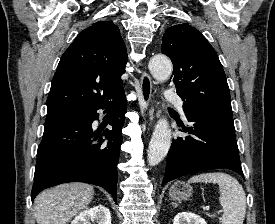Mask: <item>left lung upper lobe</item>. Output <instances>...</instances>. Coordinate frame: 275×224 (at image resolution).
<instances>
[{
    "label": "left lung upper lobe",
    "instance_id": "left-lung-upper-lobe-1",
    "mask_svg": "<svg viewBox=\"0 0 275 224\" xmlns=\"http://www.w3.org/2000/svg\"><path fill=\"white\" fill-rule=\"evenodd\" d=\"M162 53L173 63L171 81L188 113L232 118L229 87L214 48L187 23L171 26L162 38Z\"/></svg>",
    "mask_w": 275,
    "mask_h": 224
}]
</instances>
